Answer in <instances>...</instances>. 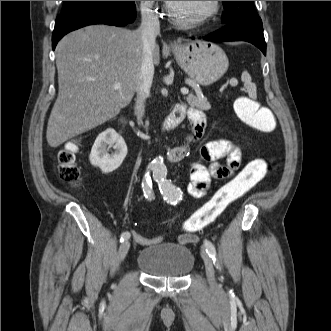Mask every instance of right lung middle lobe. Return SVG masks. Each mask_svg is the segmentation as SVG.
<instances>
[{
    "mask_svg": "<svg viewBox=\"0 0 331 331\" xmlns=\"http://www.w3.org/2000/svg\"><path fill=\"white\" fill-rule=\"evenodd\" d=\"M106 2H117V1H64L61 14H66L89 5L102 4Z\"/></svg>",
    "mask_w": 331,
    "mask_h": 331,
    "instance_id": "obj_1",
    "label": "right lung middle lobe"
}]
</instances>
